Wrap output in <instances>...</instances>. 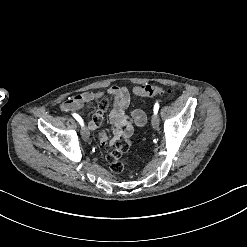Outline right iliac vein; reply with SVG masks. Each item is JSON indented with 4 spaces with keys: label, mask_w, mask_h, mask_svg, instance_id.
<instances>
[{
    "label": "right iliac vein",
    "mask_w": 247,
    "mask_h": 247,
    "mask_svg": "<svg viewBox=\"0 0 247 247\" xmlns=\"http://www.w3.org/2000/svg\"><path fill=\"white\" fill-rule=\"evenodd\" d=\"M81 134H82V138L84 140H88L89 136H90L89 128L88 127L83 128L82 131H81Z\"/></svg>",
    "instance_id": "right-iliac-vein-1"
}]
</instances>
